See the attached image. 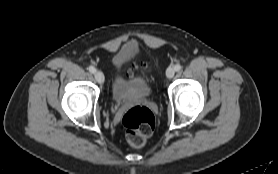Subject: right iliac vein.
<instances>
[{
    "label": "right iliac vein",
    "mask_w": 278,
    "mask_h": 174,
    "mask_svg": "<svg viewBox=\"0 0 278 174\" xmlns=\"http://www.w3.org/2000/svg\"><path fill=\"white\" fill-rule=\"evenodd\" d=\"M94 77L99 84L104 83V75L101 71H96Z\"/></svg>",
    "instance_id": "63e3f726"
}]
</instances>
